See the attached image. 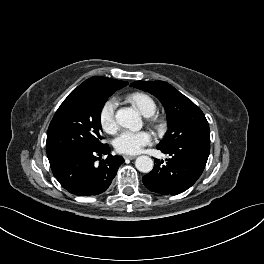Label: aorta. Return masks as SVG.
<instances>
[{
  "instance_id": "762f6f07",
  "label": "aorta",
  "mask_w": 264,
  "mask_h": 264,
  "mask_svg": "<svg viewBox=\"0 0 264 264\" xmlns=\"http://www.w3.org/2000/svg\"><path fill=\"white\" fill-rule=\"evenodd\" d=\"M117 123L132 131H138L142 128V120L138 112L131 107L121 108L115 115ZM137 170L143 173L152 171L154 163L149 156H139L135 161Z\"/></svg>"
}]
</instances>
